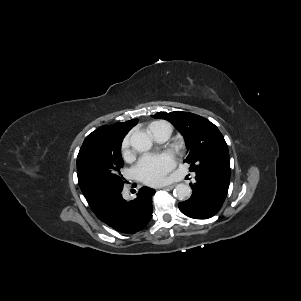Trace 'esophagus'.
Returning <instances> with one entry per match:
<instances>
[{
  "instance_id": "obj_1",
  "label": "esophagus",
  "mask_w": 301,
  "mask_h": 301,
  "mask_svg": "<svg viewBox=\"0 0 301 301\" xmlns=\"http://www.w3.org/2000/svg\"><path fill=\"white\" fill-rule=\"evenodd\" d=\"M174 187H175V184H170V185L163 186L161 188L170 190V189H173Z\"/></svg>"
}]
</instances>
